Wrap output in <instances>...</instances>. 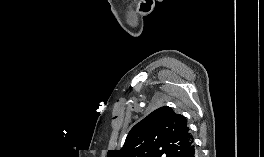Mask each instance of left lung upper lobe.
<instances>
[{"label":"left lung upper lobe","instance_id":"left-lung-upper-lobe-1","mask_svg":"<svg viewBox=\"0 0 264 157\" xmlns=\"http://www.w3.org/2000/svg\"><path fill=\"white\" fill-rule=\"evenodd\" d=\"M193 136L187 119L164 106L137 123L121 150H109L107 157H187Z\"/></svg>","mask_w":264,"mask_h":157}]
</instances>
